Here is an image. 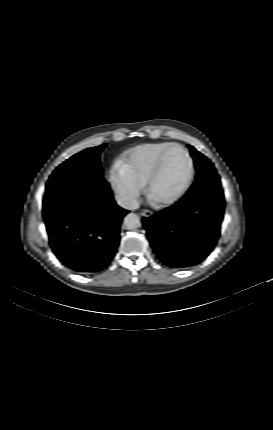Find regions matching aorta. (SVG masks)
<instances>
[{"mask_svg": "<svg viewBox=\"0 0 273 430\" xmlns=\"http://www.w3.org/2000/svg\"><path fill=\"white\" fill-rule=\"evenodd\" d=\"M124 225L128 230H135L141 226L140 218L135 213H130L124 218Z\"/></svg>", "mask_w": 273, "mask_h": 430, "instance_id": "762f6f07", "label": "aorta"}]
</instances>
